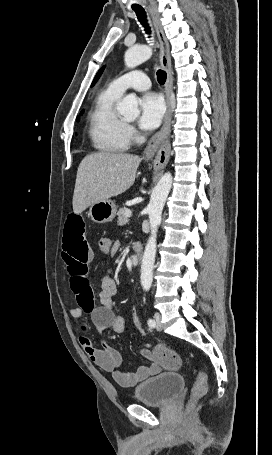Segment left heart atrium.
<instances>
[{
	"label": "left heart atrium",
	"instance_id": "39dd6f15",
	"mask_svg": "<svg viewBox=\"0 0 272 455\" xmlns=\"http://www.w3.org/2000/svg\"><path fill=\"white\" fill-rule=\"evenodd\" d=\"M139 126L144 130H154L157 128L164 116L165 104L162 97L156 93L149 92L144 94L140 101Z\"/></svg>",
	"mask_w": 272,
	"mask_h": 455
}]
</instances>
